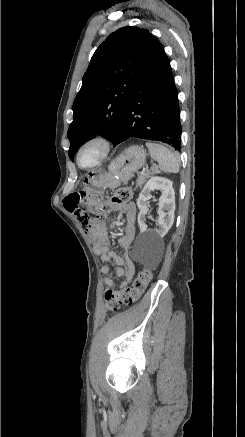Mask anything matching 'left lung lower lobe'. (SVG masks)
<instances>
[{
	"label": "left lung lower lobe",
	"instance_id": "left-lung-lower-lobe-1",
	"mask_svg": "<svg viewBox=\"0 0 245 437\" xmlns=\"http://www.w3.org/2000/svg\"><path fill=\"white\" fill-rule=\"evenodd\" d=\"M181 132L178 92L160 44L129 96L114 145L136 137L161 141L179 151Z\"/></svg>",
	"mask_w": 245,
	"mask_h": 437
}]
</instances>
